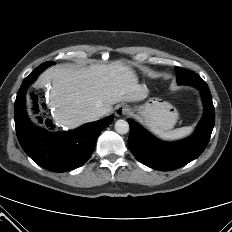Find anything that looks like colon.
Instances as JSON below:
<instances>
[{
	"label": "colon",
	"mask_w": 232,
	"mask_h": 232,
	"mask_svg": "<svg viewBox=\"0 0 232 232\" xmlns=\"http://www.w3.org/2000/svg\"><path fill=\"white\" fill-rule=\"evenodd\" d=\"M44 102L43 100L37 96L36 94L31 95V109L37 115H42L44 112Z\"/></svg>",
	"instance_id": "1"
}]
</instances>
